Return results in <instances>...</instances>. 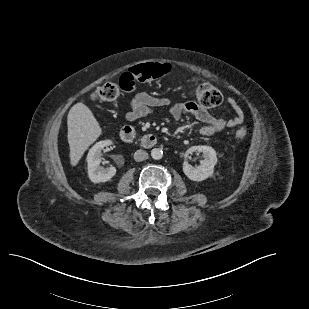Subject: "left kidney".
<instances>
[{
	"label": "left kidney",
	"instance_id": "obj_1",
	"mask_svg": "<svg viewBox=\"0 0 309 309\" xmlns=\"http://www.w3.org/2000/svg\"><path fill=\"white\" fill-rule=\"evenodd\" d=\"M193 152L203 153L204 159L197 167H193L185 160L183 163L184 174L192 181H203L214 172V167L218 162L216 151L206 145L192 146L186 151L185 158Z\"/></svg>",
	"mask_w": 309,
	"mask_h": 309
}]
</instances>
